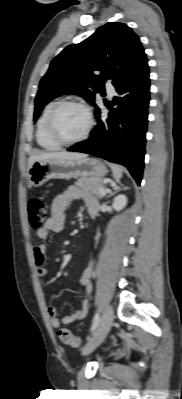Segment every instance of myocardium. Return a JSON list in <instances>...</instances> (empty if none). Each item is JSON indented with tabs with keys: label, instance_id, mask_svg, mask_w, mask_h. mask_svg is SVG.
Instances as JSON below:
<instances>
[{
	"label": "myocardium",
	"instance_id": "myocardium-1",
	"mask_svg": "<svg viewBox=\"0 0 182 399\" xmlns=\"http://www.w3.org/2000/svg\"><path fill=\"white\" fill-rule=\"evenodd\" d=\"M77 106L79 108H81L86 117H87V127L85 129V131L77 138L75 139H63L57 132L56 127H55V117L58 113V111L65 107V106ZM94 127V118H93V114L91 109L89 108V106L87 104H85L83 101L80 100H76V99H67V100H62L57 102L53 108L51 109L49 115H48V119H47V131L49 136L58 144L60 145H73V144H77L80 143L84 140H86L88 138V136L90 135L92 129Z\"/></svg>",
	"mask_w": 182,
	"mask_h": 399
}]
</instances>
